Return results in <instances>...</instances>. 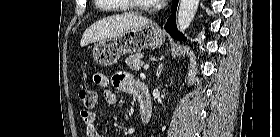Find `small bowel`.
Returning <instances> with one entry per match:
<instances>
[{"mask_svg": "<svg viewBox=\"0 0 280 137\" xmlns=\"http://www.w3.org/2000/svg\"><path fill=\"white\" fill-rule=\"evenodd\" d=\"M94 82L102 88H107L109 85H112L115 89L124 93L133 94L136 97L138 85L140 84L124 71H117L112 77H109L105 73H96L94 75ZM103 96L107 106L115 107L117 105L118 98L115 92L106 89ZM80 115L85 125L86 137H100L95 127V113L84 109Z\"/></svg>", "mask_w": 280, "mask_h": 137, "instance_id": "small-bowel-1", "label": "small bowel"}]
</instances>
